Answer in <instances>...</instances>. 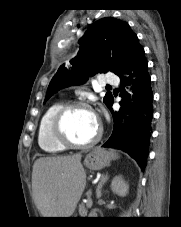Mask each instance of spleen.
<instances>
[{
	"mask_svg": "<svg viewBox=\"0 0 181 227\" xmlns=\"http://www.w3.org/2000/svg\"><path fill=\"white\" fill-rule=\"evenodd\" d=\"M110 154L113 159L118 158V155L113 150L110 151Z\"/></svg>",
	"mask_w": 181,
	"mask_h": 227,
	"instance_id": "1",
	"label": "spleen"
}]
</instances>
